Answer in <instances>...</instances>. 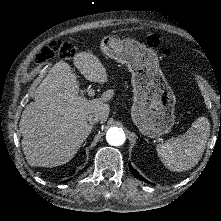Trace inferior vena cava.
I'll list each match as a JSON object with an SVG mask.
<instances>
[{"label":"inferior vena cava","instance_id":"1","mask_svg":"<svg viewBox=\"0 0 221 221\" xmlns=\"http://www.w3.org/2000/svg\"><path fill=\"white\" fill-rule=\"evenodd\" d=\"M87 121L90 125H94L100 121V114L99 113H91L87 117Z\"/></svg>","mask_w":221,"mask_h":221}]
</instances>
